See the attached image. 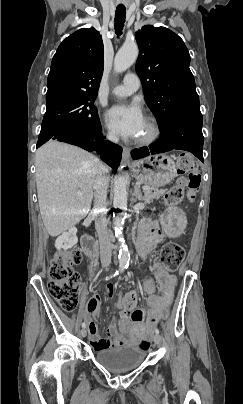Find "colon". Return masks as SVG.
Wrapping results in <instances>:
<instances>
[{
	"mask_svg": "<svg viewBox=\"0 0 243 404\" xmlns=\"http://www.w3.org/2000/svg\"><path fill=\"white\" fill-rule=\"evenodd\" d=\"M178 173L187 175L179 179L176 185L171 187L164 196V202L169 207L177 206L184 198L186 190L190 197L200 184V174L197 164L188 154H181L177 162ZM185 258V250L178 244L167 243L161 251L162 262L171 267L178 268ZM82 261V254L77 249L58 251L52 259L48 269V291L59 305L66 311H72L78 304V292L80 278L74 270V266ZM144 290L148 293L153 291L150 280L145 282ZM138 299L136 291L126 293L119 300V308L123 317H129L135 310ZM168 313L162 319H166ZM140 347L149 349L150 341L146 338L140 341Z\"/></svg>",
	"mask_w": 243,
	"mask_h": 404,
	"instance_id": "5ec220e1",
	"label": "colon"
}]
</instances>
